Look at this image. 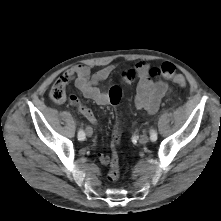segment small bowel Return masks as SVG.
Instances as JSON below:
<instances>
[{
    "instance_id": "c3829d8e",
    "label": "small bowel",
    "mask_w": 221,
    "mask_h": 221,
    "mask_svg": "<svg viewBox=\"0 0 221 221\" xmlns=\"http://www.w3.org/2000/svg\"><path fill=\"white\" fill-rule=\"evenodd\" d=\"M115 70V66L110 64L101 68L95 73L86 65H75L71 69L64 72L58 80L67 86L73 79L75 85L82 95L94 101L100 106H108L113 104L109 91H105L99 87V84L106 80ZM122 79L126 83H132L137 80L136 94L134 104L137 109H143L149 114H154L159 108V104L163 97L170 92L169 85L161 80L155 81L149 75V64L145 61L138 62L134 68L123 72ZM81 114L92 124H97V119L91 109L82 105L80 102L76 104ZM98 161L107 166L110 163V156L99 153Z\"/></svg>"
}]
</instances>
